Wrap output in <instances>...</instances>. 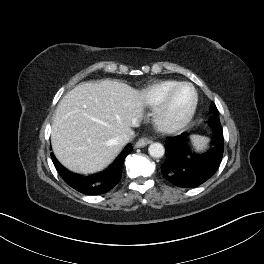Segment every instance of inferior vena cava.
Segmentation results:
<instances>
[{"label": "inferior vena cava", "instance_id": "inferior-vena-cava-1", "mask_svg": "<svg viewBox=\"0 0 264 264\" xmlns=\"http://www.w3.org/2000/svg\"><path fill=\"white\" fill-rule=\"evenodd\" d=\"M130 138L131 136L128 134H121L118 137H116L115 141L117 144L124 146L129 142Z\"/></svg>", "mask_w": 264, "mask_h": 264}]
</instances>
